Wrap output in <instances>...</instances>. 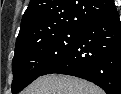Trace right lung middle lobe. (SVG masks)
Segmentation results:
<instances>
[{
  "label": "right lung middle lobe",
  "mask_w": 121,
  "mask_h": 94,
  "mask_svg": "<svg viewBox=\"0 0 121 94\" xmlns=\"http://www.w3.org/2000/svg\"><path fill=\"white\" fill-rule=\"evenodd\" d=\"M78 36L79 30L34 33L16 44L12 61V93L20 92L65 56L77 42Z\"/></svg>",
  "instance_id": "right-lung-middle-lobe-1"
}]
</instances>
